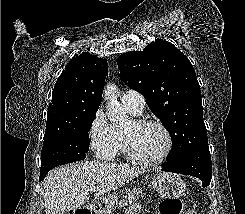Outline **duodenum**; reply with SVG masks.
<instances>
[{
    "mask_svg": "<svg viewBox=\"0 0 245 214\" xmlns=\"http://www.w3.org/2000/svg\"><path fill=\"white\" fill-rule=\"evenodd\" d=\"M93 209L97 212H103L105 210V201L102 199H96L92 203ZM85 209H81L78 214H85Z\"/></svg>",
    "mask_w": 245,
    "mask_h": 214,
    "instance_id": "duodenum-1",
    "label": "duodenum"
}]
</instances>
